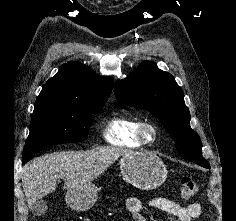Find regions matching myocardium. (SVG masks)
<instances>
[{"label":"myocardium","instance_id":"f54148a6","mask_svg":"<svg viewBox=\"0 0 236 221\" xmlns=\"http://www.w3.org/2000/svg\"><path fill=\"white\" fill-rule=\"evenodd\" d=\"M149 132H151L149 134ZM158 126L151 121H143L138 128V138L145 145L154 144L159 137Z\"/></svg>","mask_w":236,"mask_h":221}]
</instances>
